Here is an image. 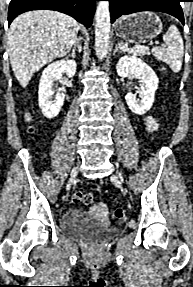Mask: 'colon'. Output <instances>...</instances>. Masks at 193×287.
I'll use <instances>...</instances> for the list:
<instances>
[{"label":"colon","mask_w":193,"mask_h":287,"mask_svg":"<svg viewBox=\"0 0 193 287\" xmlns=\"http://www.w3.org/2000/svg\"><path fill=\"white\" fill-rule=\"evenodd\" d=\"M72 200L74 203L76 204H85V205H89L92 203L93 201V197L91 194L89 193H83L81 191H76L73 196H72ZM114 216L117 219H123L125 217V211L123 208H116L114 211Z\"/></svg>","instance_id":"5ec220e1"}]
</instances>
